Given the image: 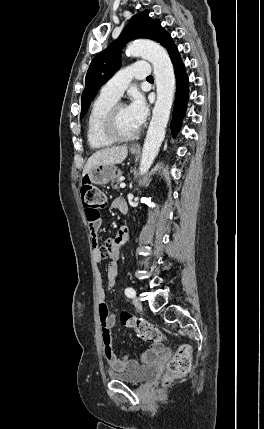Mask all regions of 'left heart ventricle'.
Returning <instances> with one entry per match:
<instances>
[{
    "mask_svg": "<svg viewBox=\"0 0 264 429\" xmlns=\"http://www.w3.org/2000/svg\"><path fill=\"white\" fill-rule=\"evenodd\" d=\"M117 125L119 131L124 135H131L139 128V126L133 121V119L129 115L126 106H123L118 110Z\"/></svg>",
    "mask_w": 264,
    "mask_h": 429,
    "instance_id": "obj_1",
    "label": "left heart ventricle"
}]
</instances>
